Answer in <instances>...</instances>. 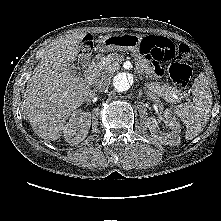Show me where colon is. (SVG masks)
Wrapping results in <instances>:
<instances>
[{"label":"colon","mask_w":221,"mask_h":221,"mask_svg":"<svg viewBox=\"0 0 221 221\" xmlns=\"http://www.w3.org/2000/svg\"><path fill=\"white\" fill-rule=\"evenodd\" d=\"M93 46V37L87 35L78 53V66H86L90 60ZM140 52L160 70L162 66L167 65L171 81L175 86L185 87L188 84L192 73L191 68L184 63L192 58L188 45H175L169 39L158 40L147 36L141 43Z\"/></svg>","instance_id":"obj_1"}]
</instances>
